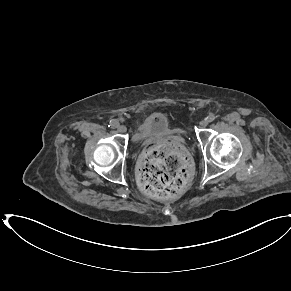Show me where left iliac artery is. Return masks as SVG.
<instances>
[{
	"label": "left iliac artery",
	"mask_w": 291,
	"mask_h": 291,
	"mask_svg": "<svg viewBox=\"0 0 291 291\" xmlns=\"http://www.w3.org/2000/svg\"><path fill=\"white\" fill-rule=\"evenodd\" d=\"M215 118L216 116L214 114H210L206 119L208 120V122H212Z\"/></svg>",
	"instance_id": "obj_1"
}]
</instances>
